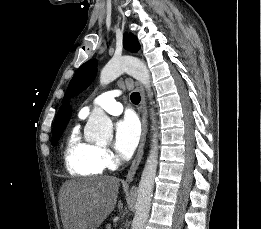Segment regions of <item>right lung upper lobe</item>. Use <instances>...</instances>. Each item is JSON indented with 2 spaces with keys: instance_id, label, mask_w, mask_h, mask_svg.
<instances>
[{
  "instance_id": "right-lung-upper-lobe-1",
  "label": "right lung upper lobe",
  "mask_w": 261,
  "mask_h": 229,
  "mask_svg": "<svg viewBox=\"0 0 261 229\" xmlns=\"http://www.w3.org/2000/svg\"><path fill=\"white\" fill-rule=\"evenodd\" d=\"M71 116V107L69 102L66 101L59 109L56 118L54 120V125L67 124Z\"/></svg>"
}]
</instances>
